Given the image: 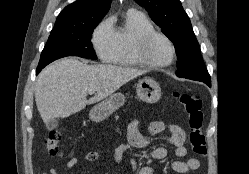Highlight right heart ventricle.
I'll use <instances>...</instances> for the list:
<instances>
[{
    "mask_svg": "<svg viewBox=\"0 0 249 174\" xmlns=\"http://www.w3.org/2000/svg\"><path fill=\"white\" fill-rule=\"evenodd\" d=\"M151 30L154 26L143 13L135 10L126 12L122 25L114 28L117 51L111 63L119 66L143 65L134 54V46L141 34Z\"/></svg>",
    "mask_w": 249,
    "mask_h": 174,
    "instance_id": "e07e8e85",
    "label": "right heart ventricle"
}]
</instances>
